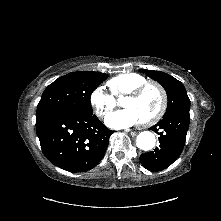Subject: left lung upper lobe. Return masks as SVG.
Here are the masks:
<instances>
[{"mask_svg":"<svg viewBox=\"0 0 221 221\" xmlns=\"http://www.w3.org/2000/svg\"><path fill=\"white\" fill-rule=\"evenodd\" d=\"M141 71L146 72L149 77L158 81L166 90L168 105L165 115L176 110H190V99L185 87L179 80L161 71Z\"/></svg>","mask_w":221,"mask_h":221,"instance_id":"obj_1","label":"left lung upper lobe"}]
</instances>
